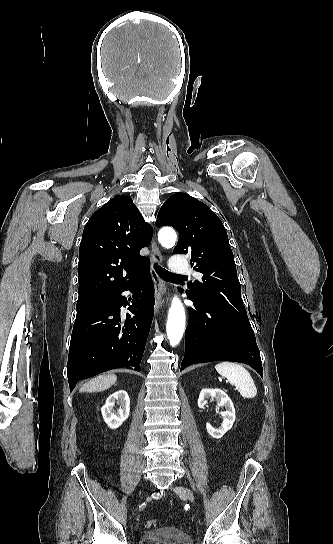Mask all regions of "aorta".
Masks as SVG:
<instances>
[{
  "mask_svg": "<svg viewBox=\"0 0 333 544\" xmlns=\"http://www.w3.org/2000/svg\"><path fill=\"white\" fill-rule=\"evenodd\" d=\"M160 244L165 248H172L177 240L176 232L168 227L162 228L158 234ZM185 309L181 301L174 297L168 312L166 325L167 337L171 346L180 343L185 329Z\"/></svg>",
  "mask_w": 333,
  "mask_h": 544,
  "instance_id": "obj_1",
  "label": "aorta"
}]
</instances>
